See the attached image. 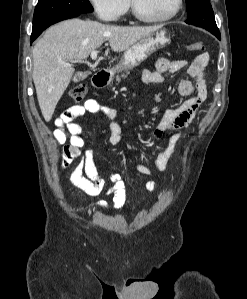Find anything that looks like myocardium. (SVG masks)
Here are the masks:
<instances>
[{
	"label": "myocardium",
	"instance_id": "f54148a6",
	"mask_svg": "<svg viewBox=\"0 0 247 299\" xmlns=\"http://www.w3.org/2000/svg\"><path fill=\"white\" fill-rule=\"evenodd\" d=\"M129 1H130V6L132 9L133 15L137 19H139L143 22H147V23H163V22H167V21L173 19L179 13V11L182 8V4H183V0H176L174 8L167 15H164L161 17H150L141 12V10L139 9V7L137 5L136 0H129Z\"/></svg>",
	"mask_w": 247,
	"mask_h": 299
}]
</instances>
